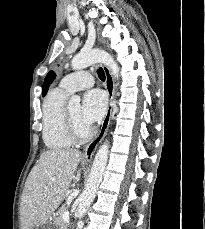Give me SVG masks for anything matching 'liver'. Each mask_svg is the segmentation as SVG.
Returning a JSON list of instances; mask_svg holds the SVG:
<instances>
[{"instance_id": "liver-1", "label": "liver", "mask_w": 205, "mask_h": 229, "mask_svg": "<svg viewBox=\"0 0 205 229\" xmlns=\"http://www.w3.org/2000/svg\"><path fill=\"white\" fill-rule=\"evenodd\" d=\"M82 154L76 149L47 150L32 168L22 193V229H34L51 218L65 198L71 182L80 180L81 171L74 175Z\"/></svg>"}]
</instances>
